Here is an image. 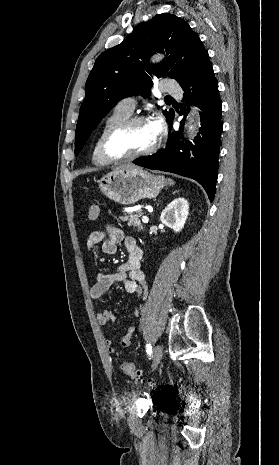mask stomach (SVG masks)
<instances>
[{
  "label": "stomach",
  "instance_id": "0dacf381",
  "mask_svg": "<svg viewBox=\"0 0 279 465\" xmlns=\"http://www.w3.org/2000/svg\"><path fill=\"white\" fill-rule=\"evenodd\" d=\"M99 188L109 199L132 205L141 199L155 198L167 184L163 176H157L141 168H118L99 181Z\"/></svg>",
  "mask_w": 279,
  "mask_h": 465
}]
</instances>
